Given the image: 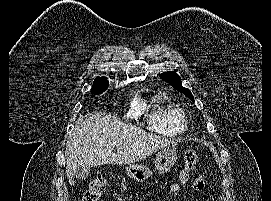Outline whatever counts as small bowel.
<instances>
[{"label":"small bowel","instance_id":"obj_1","mask_svg":"<svg viewBox=\"0 0 271 201\" xmlns=\"http://www.w3.org/2000/svg\"><path fill=\"white\" fill-rule=\"evenodd\" d=\"M191 185L195 190H202L205 185V180L202 175L194 177L191 181Z\"/></svg>","mask_w":271,"mask_h":201}]
</instances>
